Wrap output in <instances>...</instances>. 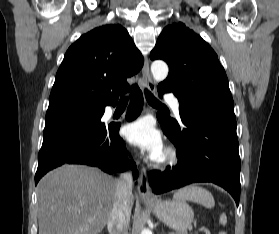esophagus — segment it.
I'll use <instances>...</instances> for the list:
<instances>
[{
    "label": "esophagus",
    "mask_w": 279,
    "mask_h": 234,
    "mask_svg": "<svg viewBox=\"0 0 279 234\" xmlns=\"http://www.w3.org/2000/svg\"><path fill=\"white\" fill-rule=\"evenodd\" d=\"M142 78H143V86L145 89H148L150 92L155 93L156 87L152 80V77L150 75V69H149V61L146 58L143 68H142ZM138 193L142 199L146 200H153L154 195L150 189L149 183H148V177L146 170H142L139 178V184H138Z\"/></svg>",
    "instance_id": "1"
}]
</instances>
